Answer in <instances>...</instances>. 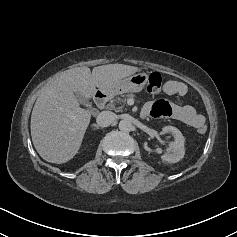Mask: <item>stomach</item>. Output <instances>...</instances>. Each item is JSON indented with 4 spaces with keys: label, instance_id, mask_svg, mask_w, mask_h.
I'll return each instance as SVG.
<instances>
[{
    "label": "stomach",
    "instance_id": "stomach-1",
    "mask_svg": "<svg viewBox=\"0 0 237 237\" xmlns=\"http://www.w3.org/2000/svg\"><path fill=\"white\" fill-rule=\"evenodd\" d=\"M148 75L146 73H138L129 78L122 79L116 82L113 86L103 89L108 96H114L117 94L127 92H140L146 85Z\"/></svg>",
    "mask_w": 237,
    "mask_h": 237
}]
</instances>
